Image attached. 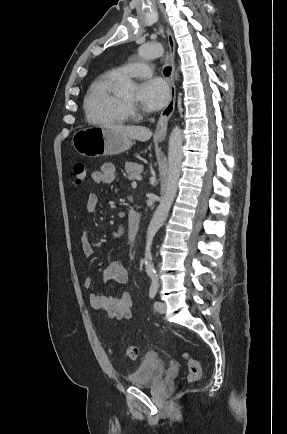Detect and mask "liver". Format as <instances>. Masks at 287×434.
I'll return each mask as SVG.
<instances>
[{"mask_svg":"<svg viewBox=\"0 0 287 434\" xmlns=\"http://www.w3.org/2000/svg\"><path fill=\"white\" fill-rule=\"evenodd\" d=\"M104 127L114 132H117L123 136L129 137L131 139H136L142 142L148 141L152 136V132L150 131V129L142 126L112 124V125H106Z\"/></svg>","mask_w":287,"mask_h":434,"instance_id":"obj_1","label":"liver"}]
</instances>
